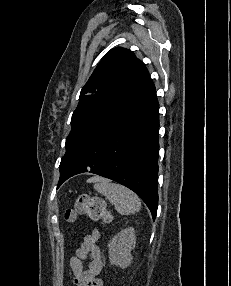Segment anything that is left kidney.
<instances>
[{
  "instance_id": "5707ae66",
  "label": "left kidney",
  "mask_w": 231,
  "mask_h": 286,
  "mask_svg": "<svg viewBox=\"0 0 231 286\" xmlns=\"http://www.w3.org/2000/svg\"><path fill=\"white\" fill-rule=\"evenodd\" d=\"M136 235L133 227L117 233L109 242V260L112 265L125 269L132 262L131 250L135 247Z\"/></svg>"
}]
</instances>
